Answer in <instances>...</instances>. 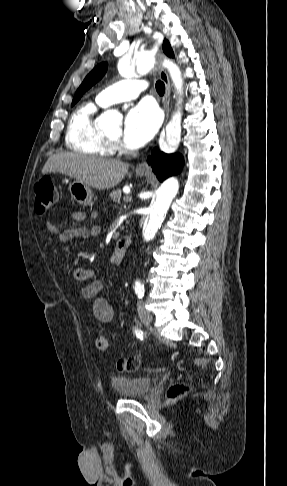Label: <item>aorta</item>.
<instances>
[{
  "mask_svg": "<svg viewBox=\"0 0 287 486\" xmlns=\"http://www.w3.org/2000/svg\"><path fill=\"white\" fill-rule=\"evenodd\" d=\"M156 63L157 59L155 55L153 53H146L137 60L135 69L134 65L130 63V60L124 57L118 62V71L121 76L130 77L136 72L140 73L151 70ZM162 65L169 71L175 89L177 90V94L179 95L178 110L173 114L172 119L166 126V138L163 144L165 149H174L179 145L181 140L182 113L179 105H181L183 101L181 97L183 94V79L179 67L173 61L164 59ZM98 123L101 127H117L120 124V118L115 111L109 110L100 115ZM177 190L178 184L173 179L166 180L158 189L156 198L150 205L147 219L142 230V236L146 242L155 237ZM139 285L140 283L136 282V286Z\"/></svg>",
  "mask_w": 287,
  "mask_h": 486,
  "instance_id": "aorta-1",
  "label": "aorta"
}]
</instances>
